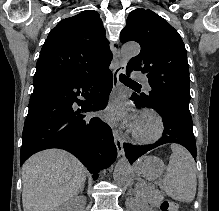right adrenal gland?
Listing matches in <instances>:
<instances>
[{"instance_id": "right-adrenal-gland-1", "label": "right adrenal gland", "mask_w": 219, "mask_h": 211, "mask_svg": "<svg viewBox=\"0 0 219 211\" xmlns=\"http://www.w3.org/2000/svg\"><path fill=\"white\" fill-rule=\"evenodd\" d=\"M83 189H84V187H80L79 191H77V193H75V195H78V193H83Z\"/></svg>"}]
</instances>
